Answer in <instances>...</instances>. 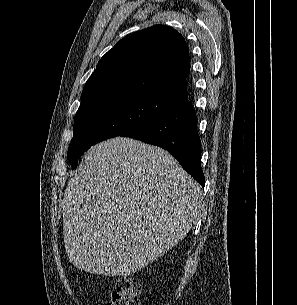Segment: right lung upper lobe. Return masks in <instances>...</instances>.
Listing matches in <instances>:
<instances>
[{"instance_id":"right-lung-upper-lobe-1","label":"right lung upper lobe","mask_w":297,"mask_h":305,"mask_svg":"<svg viewBox=\"0 0 297 305\" xmlns=\"http://www.w3.org/2000/svg\"><path fill=\"white\" fill-rule=\"evenodd\" d=\"M189 48L183 36L155 25L120 40L87 80L79 108L123 95H143L172 104L187 98Z\"/></svg>"}]
</instances>
